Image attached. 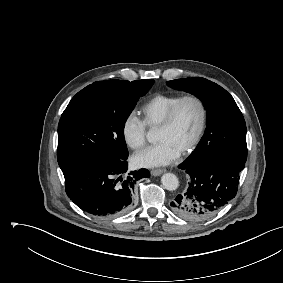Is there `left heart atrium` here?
<instances>
[{
	"label": "left heart atrium",
	"mask_w": 283,
	"mask_h": 283,
	"mask_svg": "<svg viewBox=\"0 0 283 283\" xmlns=\"http://www.w3.org/2000/svg\"><path fill=\"white\" fill-rule=\"evenodd\" d=\"M181 151L167 141H160L152 145L133 157V162L139 167H158L174 162Z\"/></svg>",
	"instance_id": "left-heart-atrium-1"
}]
</instances>
